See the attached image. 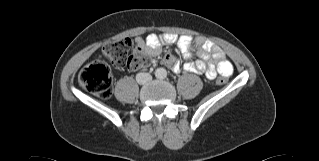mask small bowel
<instances>
[{
	"label": "small bowel",
	"instance_id": "small-bowel-1",
	"mask_svg": "<svg viewBox=\"0 0 319 161\" xmlns=\"http://www.w3.org/2000/svg\"><path fill=\"white\" fill-rule=\"evenodd\" d=\"M136 43L148 50V52L157 56L162 52L163 44H175L183 54L184 58L189 60L192 57V45L193 41L191 37L182 35L177 37L174 34H162L155 33L149 34L145 38H136ZM196 54L199 60L196 63H187L184 69L192 73L205 72V76L208 79H214L219 73L220 75L229 77L233 72L231 63L225 59L223 51L218 46H213L210 42L197 39L195 42ZM212 57L216 65H208L207 61ZM165 65L170 67L175 73L181 71V66L178 61L170 54L165 60Z\"/></svg>",
	"mask_w": 319,
	"mask_h": 161
}]
</instances>
